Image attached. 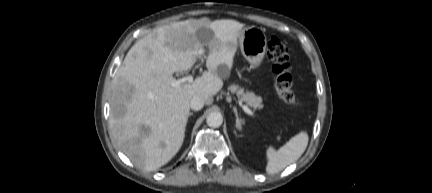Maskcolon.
I'll use <instances>...</instances> for the list:
<instances>
[{
    "label": "colon",
    "mask_w": 432,
    "mask_h": 193,
    "mask_svg": "<svg viewBox=\"0 0 432 193\" xmlns=\"http://www.w3.org/2000/svg\"><path fill=\"white\" fill-rule=\"evenodd\" d=\"M267 55L272 62L271 70L275 75V88L279 99L290 106H298L299 101L292 91L289 51L277 37L268 42Z\"/></svg>",
    "instance_id": "colon-1"
}]
</instances>
